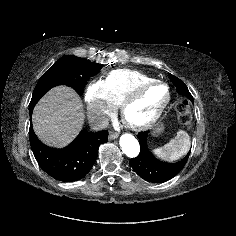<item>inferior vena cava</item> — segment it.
I'll use <instances>...</instances> for the list:
<instances>
[{"instance_id": "1", "label": "inferior vena cava", "mask_w": 236, "mask_h": 236, "mask_svg": "<svg viewBox=\"0 0 236 236\" xmlns=\"http://www.w3.org/2000/svg\"><path fill=\"white\" fill-rule=\"evenodd\" d=\"M108 124L109 119L105 114H100L90 120V126L95 131L103 130Z\"/></svg>"}]
</instances>
